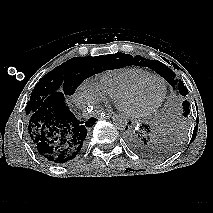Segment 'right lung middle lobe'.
Returning a JSON list of instances; mask_svg holds the SVG:
<instances>
[{
    "mask_svg": "<svg viewBox=\"0 0 213 213\" xmlns=\"http://www.w3.org/2000/svg\"><path fill=\"white\" fill-rule=\"evenodd\" d=\"M122 53L96 57H75L56 67L43 76L31 93L30 100L25 108L29 117L39 106L55 92L64 95H73L75 89L88 77L107 69H111L110 63Z\"/></svg>",
    "mask_w": 213,
    "mask_h": 213,
    "instance_id": "right-lung-middle-lobe-1",
    "label": "right lung middle lobe"
}]
</instances>
